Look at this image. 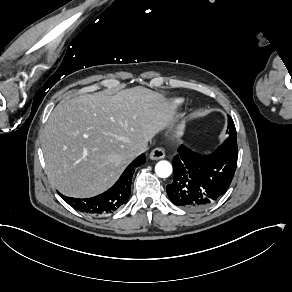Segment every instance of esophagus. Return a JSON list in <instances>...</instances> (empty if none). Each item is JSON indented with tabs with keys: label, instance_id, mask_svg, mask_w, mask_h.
<instances>
[{
	"label": "esophagus",
	"instance_id": "obj_1",
	"mask_svg": "<svg viewBox=\"0 0 292 292\" xmlns=\"http://www.w3.org/2000/svg\"><path fill=\"white\" fill-rule=\"evenodd\" d=\"M165 157V151L162 148H154L149 155L151 160L163 159Z\"/></svg>",
	"mask_w": 292,
	"mask_h": 292
}]
</instances>
